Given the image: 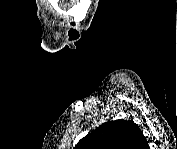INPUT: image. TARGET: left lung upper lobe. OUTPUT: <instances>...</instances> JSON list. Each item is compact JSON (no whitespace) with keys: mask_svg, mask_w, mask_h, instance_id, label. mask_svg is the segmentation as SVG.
<instances>
[{"mask_svg":"<svg viewBox=\"0 0 177 149\" xmlns=\"http://www.w3.org/2000/svg\"><path fill=\"white\" fill-rule=\"evenodd\" d=\"M148 142L136 123L108 121L82 138L75 149H146Z\"/></svg>","mask_w":177,"mask_h":149,"instance_id":"left-lung-upper-lobe-1","label":"left lung upper lobe"}]
</instances>
